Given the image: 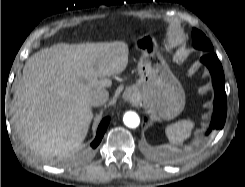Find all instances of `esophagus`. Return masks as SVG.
<instances>
[{
	"instance_id": "obj_1",
	"label": "esophagus",
	"mask_w": 245,
	"mask_h": 187,
	"mask_svg": "<svg viewBox=\"0 0 245 187\" xmlns=\"http://www.w3.org/2000/svg\"><path fill=\"white\" fill-rule=\"evenodd\" d=\"M123 98L125 101H129V102L134 100V96L131 92H124Z\"/></svg>"
}]
</instances>
